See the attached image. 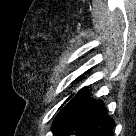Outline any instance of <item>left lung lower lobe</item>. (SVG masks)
<instances>
[{"instance_id": "0a47b994", "label": "left lung lower lobe", "mask_w": 136, "mask_h": 136, "mask_svg": "<svg viewBox=\"0 0 136 136\" xmlns=\"http://www.w3.org/2000/svg\"><path fill=\"white\" fill-rule=\"evenodd\" d=\"M113 126L102 104L84 87L58 112L52 132L53 136H112Z\"/></svg>"}]
</instances>
